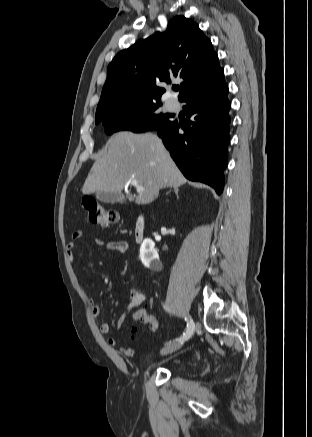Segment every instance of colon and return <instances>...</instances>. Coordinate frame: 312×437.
Returning <instances> with one entry per match:
<instances>
[{"label": "colon", "mask_w": 312, "mask_h": 437, "mask_svg": "<svg viewBox=\"0 0 312 437\" xmlns=\"http://www.w3.org/2000/svg\"><path fill=\"white\" fill-rule=\"evenodd\" d=\"M81 207L85 211L88 220L94 224L108 226L116 223L118 219L115 211L108 209L104 204L90 196L82 198ZM133 319L147 324L153 332L158 329L157 319L143 308L138 309L134 313Z\"/></svg>", "instance_id": "5ec220e1"}]
</instances>
